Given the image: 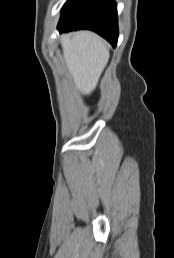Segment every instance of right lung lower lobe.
Wrapping results in <instances>:
<instances>
[{
    "label": "right lung lower lobe",
    "mask_w": 174,
    "mask_h": 258,
    "mask_svg": "<svg viewBox=\"0 0 174 258\" xmlns=\"http://www.w3.org/2000/svg\"><path fill=\"white\" fill-rule=\"evenodd\" d=\"M60 33L79 29L95 31L117 45L118 18L114 0H69L57 26Z\"/></svg>",
    "instance_id": "obj_1"
}]
</instances>
